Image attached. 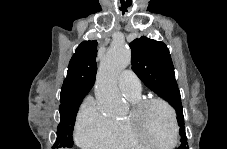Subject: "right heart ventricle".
<instances>
[{"label": "right heart ventricle", "instance_id": "e07e8e85", "mask_svg": "<svg viewBox=\"0 0 227 149\" xmlns=\"http://www.w3.org/2000/svg\"><path fill=\"white\" fill-rule=\"evenodd\" d=\"M135 104L141 100L140 95L128 97ZM109 146L115 149H138L145 146L130 131L126 118L113 120V134Z\"/></svg>", "mask_w": 227, "mask_h": 149}]
</instances>
